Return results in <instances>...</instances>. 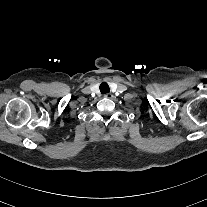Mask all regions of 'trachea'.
<instances>
[{
  "mask_svg": "<svg viewBox=\"0 0 207 207\" xmlns=\"http://www.w3.org/2000/svg\"><path fill=\"white\" fill-rule=\"evenodd\" d=\"M100 91L103 94L110 92V88H109V86H108V84L106 82L101 83V85H100Z\"/></svg>",
  "mask_w": 207,
  "mask_h": 207,
  "instance_id": "3493384b",
  "label": "trachea"
}]
</instances>
